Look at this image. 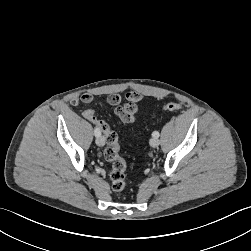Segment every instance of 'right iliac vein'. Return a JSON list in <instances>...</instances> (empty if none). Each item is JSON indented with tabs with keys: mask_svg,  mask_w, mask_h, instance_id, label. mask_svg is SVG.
I'll list each match as a JSON object with an SVG mask.
<instances>
[{
	"mask_svg": "<svg viewBox=\"0 0 251 251\" xmlns=\"http://www.w3.org/2000/svg\"><path fill=\"white\" fill-rule=\"evenodd\" d=\"M96 144L98 145V146H104V144H105V140H104V137L103 136H98L97 138H96Z\"/></svg>",
	"mask_w": 251,
	"mask_h": 251,
	"instance_id": "obj_1",
	"label": "right iliac vein"
}]
</instances>
